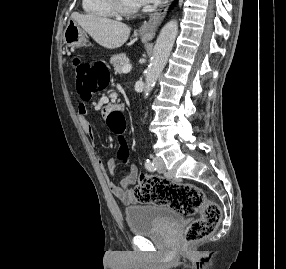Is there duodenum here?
Masks as SVG:
<instances>
[{
	"label": "duodenum",
	"mask_w": 286,
	"mask_h": 269,
	"mask_svg": "<svg viewBox=\"0 0 286 269\" xmlns=\"http://www.w3.org/2000/svg\"><path fill=\"white\" fill-rule=\"evenodd\" d=\"M108 108H110V110H112L114 108V106H108Z\"/></svg>",
	"instance_id": "1"
}]
</instances>
